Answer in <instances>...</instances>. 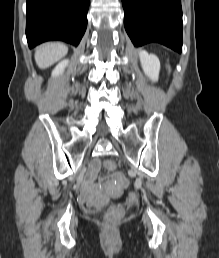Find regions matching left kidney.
<instances>
[{
    "label": "left kidney",
    "mask_w": 219,
    "mask_h": 258,
    "mask_svg": "<svg viewBox=\"0 0 219 258\" xmlns=\"http://www.w3.org/2000/svg\"><path fill=\"white\" fill-rule=\"evenodd\" d=\"M141 66L145 74L152 80L157 81L160 71V61L152 54H148L146 51L142 50L139 53Z\"/></svg>",
    "instance_id": "left-kidney-1"
}]
</instances>
